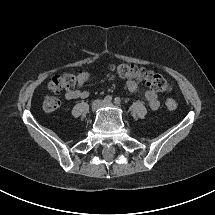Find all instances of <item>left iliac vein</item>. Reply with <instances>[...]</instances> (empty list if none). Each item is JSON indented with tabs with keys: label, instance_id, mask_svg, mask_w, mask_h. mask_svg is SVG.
<instances>
[{
	"label": "left iliac vein",
	"instance_id": "1",
	"mask_svg": "<svg viewBox=\"0 0 215 215\" xmlns=\"http://www.w3.org/2000/svg\"><path fill=\"white\" fill-rule=\"evenodd\" d=\"M110 105H112L111 102H104V106H110Z\"/></svg>",
	"mask_w": 215,
	"mask_h": 215
}]
</instances>
